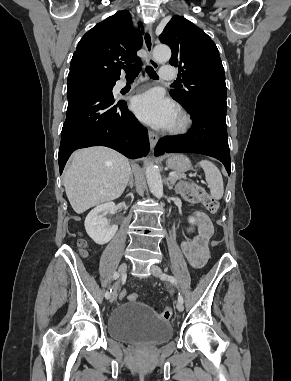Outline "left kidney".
Masks as SVG:
<instances>
[{
    "instance_id": "obj_1",
    "label": "left kidney",
    "mask_w": 291,
    "mask_h": 381,
    "mask_svg": "<svg viewBox=\"0 0 291 381\" xmlns=\"http://www.w3.org/2000/svg\"><path fill=\"white\" fill-rule=\"evenodd\" d=\"M188 222L191 223V224H193V223L195 222V219H194L193 217H190V218L188 219Z\"/></svg>"
}]
</instances>
